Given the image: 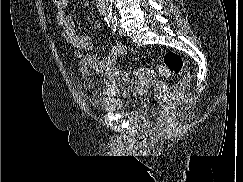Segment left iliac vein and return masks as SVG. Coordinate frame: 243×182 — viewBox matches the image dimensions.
Instances as JSON below:
<instances>
[{"label":"left iliac vein","mask_w":243,"mask_h":182,"mask_svg":"<svg viewBox=\"0 0 243 182\" xmlns=\"http://www.w3.org/2000/svg\"><path fill=\"white\" fill-rule=\"evenodd\" d=\"M118 32L120 36H126V32L123 28L119 27Z\"/></svg>","instance_id":"4c4485c4"}]
</instances>
